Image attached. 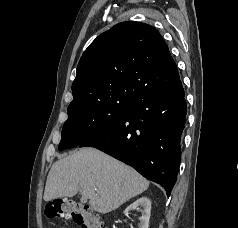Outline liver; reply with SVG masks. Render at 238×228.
Listing matches in <instances>:
<instances>
[{"label": "liver", "mask_w": 238, "mask_h": 228, "mask_svg": "<svg viewBox=\"0 0 238 228\" xmlns=\"http://www.w3.org/2000/svg\"><path fill=\"white\" fill-rule=\"evenodd\" d=\"M149 182L133 168L91 147L56 161L48 174L44 200L73 197L99 213H109L143 193ZM97 188V190H95Z\"/></svg>", "instance_id": "liver-1"}]
</instances>
